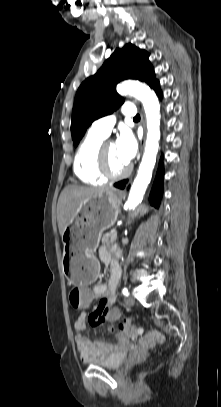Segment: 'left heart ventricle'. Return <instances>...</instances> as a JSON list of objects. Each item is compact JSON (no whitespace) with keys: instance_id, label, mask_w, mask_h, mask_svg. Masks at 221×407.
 Here are the masks:
<instances>
[{"instance_id":"b2bd125f","label":"left heart ventricle","mask_w":221,"mask_h":407,"mask_svg":"<svg viewBox=\"0 0 221 407\" xmlns=\"http://www.w3.org/2000/svg\"><path fill=\"white\" fill-rule=\"evenodd\" d=\"M106 152L109 167L113 172H120L126 168L127 163H125L118 155L115 143L111 142L108 144Z\"/></svg>"}]
</instances>
